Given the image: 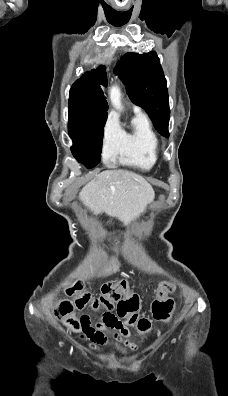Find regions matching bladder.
Segmentation results:
<instances>
[{
    "label": "bladder",
    "instance_id": "obj_1",
    "mask_svg": "<svg viewBox=\"0 0 228 396\" xmlns=\"http://www.w3.org/2000/svg\"><path fill=\"white\" fill-rule=\"evenodd\" d=\"M117 351H118L119 353H126V351L123 350V349H118Z\"/></svg>",
    "mask_w": 228,
    "mask_h": 396
}]
</instances>
